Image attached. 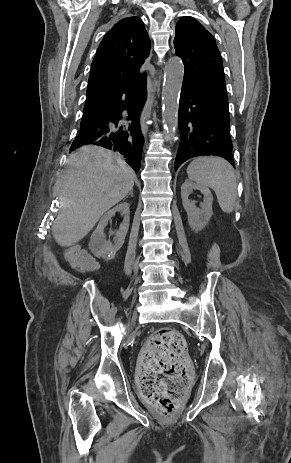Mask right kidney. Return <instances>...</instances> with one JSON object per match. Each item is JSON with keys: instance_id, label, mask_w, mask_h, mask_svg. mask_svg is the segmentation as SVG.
<instances>
[{"instance_id": "right-kidney-1", "label": "right kidney", "mask_w": 291, "mask_h": 463, "mask_svg": "<svg viewBox=\"0 0 291 463\" xmlns=\"http://www.w3.org/2000/svg\"><path fill=\"white\" fill-rule=\"evenodd\" d=\"M116 212H120L121 215L124 216V219L119 230L115 232L114 244H112L106 240L104 229L108 225V221L115 215ZM129 215V204L126 202L118 204L116 207L104 214L90 238L89 248L95 256L104 257L106 254L116 252L121 248L129 229ZM111 234L114 233L111 232Z\"/></svg>"}]
</instances>
